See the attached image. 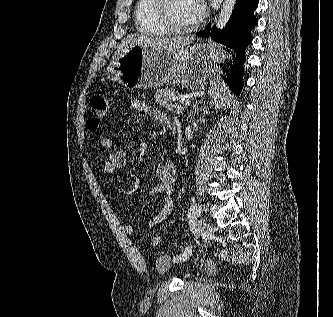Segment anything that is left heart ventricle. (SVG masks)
<instances>
[{
    "label": "left heart ventricle",
    "instance_id": "b2bd125f",
    "mask_svg": "<svg viewBox=\"0 0 333 317\" xmlns=\"http://www.w3.org/2000/svg\"><path fill=\"white\" fill-rule=\"evenodd\" d=\"M168 16L175 26L180 28L190 27L197 21L194 0H170Z\"/></svg>",
    "mask_w": 333,
    "mask_h": 317
}]
</instances>
